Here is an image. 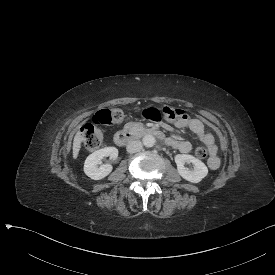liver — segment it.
<instances>
[{
    "instance_id": "1",
    "label": "liver",
    "mask_w": 275,
    "mask_h": 275,
    "mask_svg": "<svg viewBox=\"0 0 275 275\" xmlns=\"http://www.w3.org/2000/svg\"><path fill=\"white\" fill-rule=\"evenodd\" d=\"M82 136L80 132H77L73 140V158L76 159L81 147Z\"/></svg>"
}]
</instances>
